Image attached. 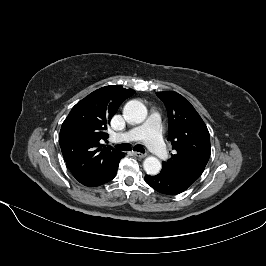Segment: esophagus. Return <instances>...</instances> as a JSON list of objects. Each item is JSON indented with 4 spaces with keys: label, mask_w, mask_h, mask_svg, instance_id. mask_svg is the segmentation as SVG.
Here are the masks:
<instances>
[{
    "label": "esophagus",
    "mask_w": 266,
    "mask_h": 266,
    "mask_svg": "<svg viewBox=\"0 0 266 266\" xmlns=\"http://www.w3.org/2000/svg\"><path fill=\"white\" fill-rule=\"evenodd\" d=\"M133 154L139 158H144L146 156V154L141 153V152H133Z\"/></svg>",
    "instance_id": "1"
}]
</instances>
